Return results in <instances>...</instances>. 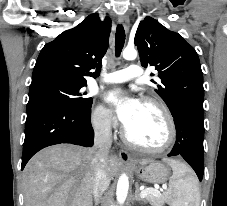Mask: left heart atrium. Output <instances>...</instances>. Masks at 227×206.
Listing matches in <instances>:
<instances>
[{
	"label": "left heart atrium",
	"instance_id": "obj_1",
	"mask_svg": "<svg viewBox=\"0 0 227 206\" xmlns=\"http://www.w3.org/2000/svg\"><path fill=\"white\" fill-rule=\"evenodd\" d=\"M106 101L114 109L119 121L127 131L140 112L141 102L118 89L108 92Z\"/></svg>",
	"mask_w": 227,
	"mask_h": 206
}]
</instances>
